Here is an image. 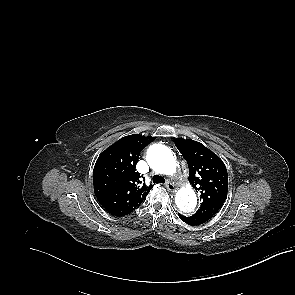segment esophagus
<instances>
[{
	"instance_id": "esophagus-1",
	"label": "esophagus",
	"mask_w": 295,
	"mask_h": 295,
	"mask_svg": "<svg viewBox=\"0 0 295 295\" xmlns=\"http://www.w3.org/2000/svg\"><path fill=\"white\" fill-rule=\"evenodd\" d=\"M165 186H166V188L169 190V191H172V192H174V191H176V186H175V184L174 183H172L171 181H167L166 183H165Z\"/></svg>"
}]
</instances>
